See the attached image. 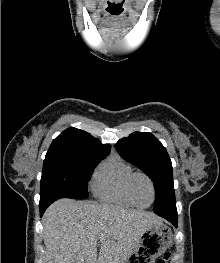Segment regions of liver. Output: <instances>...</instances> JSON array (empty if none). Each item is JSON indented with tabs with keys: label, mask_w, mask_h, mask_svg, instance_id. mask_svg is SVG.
Wrapping results in <instances>:
<instances>
[{
	"label": "liver",
	"mask_w": 220,
	"mask_h": 263,
	"mask_svg": "<svg viewBox=\"0 0 220 263\" xmlns=\"http://www.w3.org/2000/svg\"><path fill=\"white\" fill-rule=\"evenodd\" d=\"M160 222L152 212L59 199L42 218L45 258L47 263H123L141 234Z\"/></svg>",
	"instance_id": "liver-1"
}]
</instances>
